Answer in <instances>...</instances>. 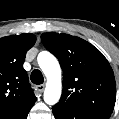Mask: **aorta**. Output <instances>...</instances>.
Instances as JSON below:
<instances>
[{
  "label": "aorta",
  "instance_id": "762f6f07",
  "mask_svg": "<svg viewBox=\"0 0 119 119\" xmlns=\"http://www.w3.org/2000/svg\"><path fill=\"white\" fill-rule=\"evenodd\" d=\"M38 64L47 78L44 101L48 105H54L59 101L62 92L60 65L56 57L47 51L39 53Z\"/></svg>",
  "mask_w": 119,
  "mask_h": 119
}]
</instances>
